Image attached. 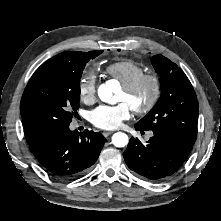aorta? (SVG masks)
Returning a JSON list of instances; mask_svg holds the SVG:
<instances>
[{"label": "aorta", "instance_id": "obj_1", "mask_svg": "<svg viewBox=\"0 0 221 221\" xmlns=\"http://www.w3.org/2000/svg\"><path fill=\"white\" fill-rule=\"evenodd\" d=\"M98 96L101 101L110 103L112 102L113 91L109 82L102 84L98 88ZM129 138L123 132H117L112 136V143L116 147H124L128 144Z\"/></svg>", "mask_w": 221, "mask_h": 221}]
</instances>
